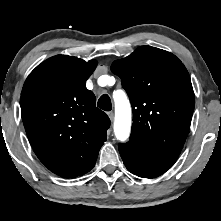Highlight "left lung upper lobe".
I'll return each mask as SVG.
<instances>
[{
  "label": "left lung upper lobe",
  "instance_id": "5c2ea615",
  "mask_svg": "<svg viewBox=\"0 0 221 221\" xmlns=\"http://www.w3.org/2000/svg\"><path fill=\"white\" fill-rule=\"evenodd\" d=\"M133 109L129 143L153 156L176 159L187 138L195 98L184 64L172 53L141 46L116 60Z\"/></svg>",
  "mask_w": 221,
  "mask_h": 221
}]
</instances>
